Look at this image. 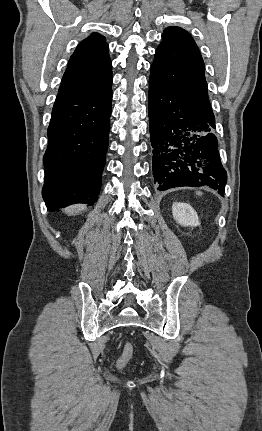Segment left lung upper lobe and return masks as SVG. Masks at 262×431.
<instances>
[{"label": "left lung upper lobe", "instance_id": "1", "mask_svg": "<svg viewBox=\"0 0 262 431\" xmlns=\"http://www.w3.org/2000/svg\"><path fill=\"white\" fill-rule=\"evenodd\" d=\"M149 80L183 97L203 116L215 120L207 94L203 59L193 38L184 29L173 26L164 30Z\"/></svg>", "mask_w": 262, "mask_h": 431}]
</instances>
